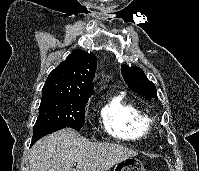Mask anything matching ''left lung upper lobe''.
<instances>
[{
	"label": "left lung upper lobe",
	"instance_id": "5c2ea615",
	"mask_svg": "<svg viewBox=\"0 0 199 171\" xmlns=\"http://www.w3.org/2000/svg\"><path fill=\"white\" fill-rule=\"evenodd\" d=\"M121 70L125 82L132 91L147 98H155L157 96L155 85L147 79L141 68L122 65Z\"/></svg>",
	"mask_w": 199,
	"mask_h": 171
}]
</instances>
